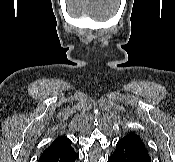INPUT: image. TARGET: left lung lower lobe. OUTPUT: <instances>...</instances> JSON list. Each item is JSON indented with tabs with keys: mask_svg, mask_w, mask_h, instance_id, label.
<instances>
[{
	"mask_svg": "<svg viewBox=\"0 0 175 162\" xmlns=\"http://www.w3.org/2000/svg\"><path fill=\"white\" fill-rule=\"evenodd\" d=\"M108 162H151V158L140 137L135 133H129L118 141Z\"/></svg>",
	"mask_w": 175,
	"mask_h": 162,
	"instance_id": "1",
	"label": "left lung lower lobe"
}]
</instances>
